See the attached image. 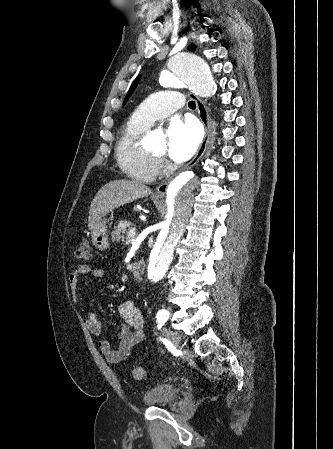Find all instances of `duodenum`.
Masks as SVG:
<instances>
[{"label": "duodenum", "instance_id": "410a0bca", "mask_svg": "<svg viewBox=\"0 0 333 449\" xmlns=\"http://www.w3.org/2000/svg\"><path fill=\"white\" fill-rule=\"evenodd\" d=\"M131 273L136 281L141 280L144 273V263L139 261L131 266Z\"/></svg>", "mask_w": 333, "mask_h": 449}]
</instances>
